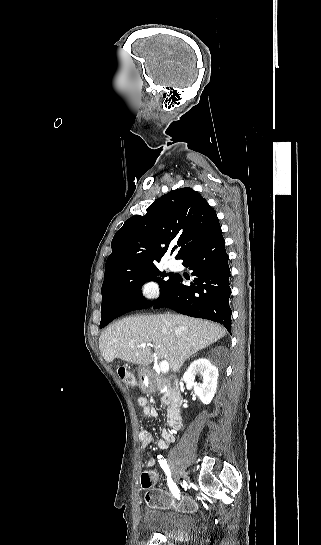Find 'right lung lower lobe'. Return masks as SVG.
Listing matches in <instances>:
<instances>
[{"mask_svg":"<svg viewBox=\"0 0 321 545\" xmlns=\"http://www.w3.org/2000/svg\"><path fill=\"white\" fill-rule=\"evenodd\" d=\"M183 261V265L193 270L192 275L196 276L191 285H184L182 276L176 274L160 297L148 304L132 296L113 294L101 306L105 321L103 327L124 313L155 304V309L167 307L181 314L219 322L231 332V275L221 227L197 244Z\"/></svg>","mask_w":321,"mask_h":545,"instance_id":"1","label":"right lung lower lobe"}]
</instances>
